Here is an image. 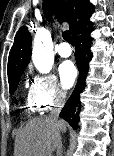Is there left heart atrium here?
<instances>
[{"label": "left heart atrium", "instance_id": "left-heart-atrium-1", "mask_svg": "<svg viewBox=\"0 0 114 156\" xmlns=\"http://www.w3.org/2000/svg\"><path fill=\"white\" fill-rule=\"evenodd\" d=\"M59 74L63 86L69 88L73 85L76 79L77 70L72 62L66 61L60 66Z\"/></svg>", "mask_w": 114, "mask_h": 156}]
</instances>
